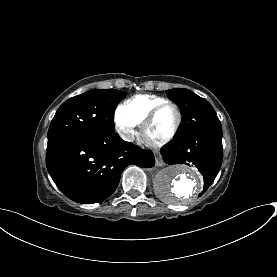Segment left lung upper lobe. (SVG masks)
<instances>
[{
  "mask_svg": "<svg viewBox=\"0 0 277 277\" xmlns=\"http://www.w3.org/2000/svg\"><path fill=\"white\" fill-rule=\"evenodd\" d=\"M166 94L181 110L183 123L179 136L201 129L221 127L216 112L204 98L184 88L170 89Z\"/></svg>",
  "mask_w": 277,
  "mask_h": 277,
  "instance_id": "1",
  "label": "left lung upper lobe"
}]
</instances>
